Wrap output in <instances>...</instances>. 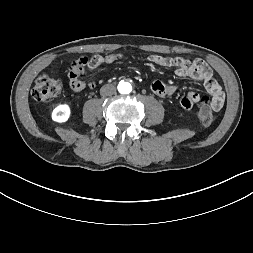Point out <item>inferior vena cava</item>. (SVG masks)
Returning a JSON list of instances; mask_svg holds the SVG:
<instances>
[{
    "label": "inferior vena cava",
    "mask_w": 253,
    "mask_h": 253,
    "mask_svg": "<svg viewBox=\"0 0 253 253\" xmlns=\"http://www.w3.org/2000/svg\"><path fill=\"white\" fill-rule=\"evenodd\" d=\"M116 92V87L112 84H106L101 87L100 94L102 96H112Z\"/></svg>",
    "instance_id": "inferior-vena-cava-1"
}]
</instances>
